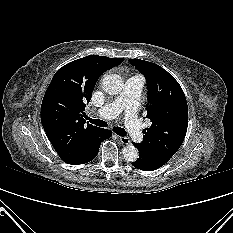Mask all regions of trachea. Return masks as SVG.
<instances>
[{
	"mask_svg": "<svg viewBox=\"0 0 233 233\" xmlns=\"http://www.w3.org/2000/svg\"><path fill=\"white\" fill-rule=\"evenodd\" d=\"M87 120H89L88 122H91L92 124L96 125V126H100V127H106L107 126V123L103 120H99V119H92V118H89V117H86ZM113 131L119 135V136H126V131L121 128V127H114L113 128Z\"/></svg>",
	"mask_w": 233,
	"mask_h": 233,
	"instance_id": "3493384b",
	"label": "trachea"
}]
</instances>
